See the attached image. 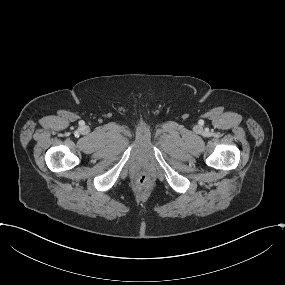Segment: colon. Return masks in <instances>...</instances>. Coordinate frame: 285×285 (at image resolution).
I'll list each match as a JSON object with an SVG mask.
<instances>
[{
	"label": "colon",
	"mask_w": 285,
	"mask_h": 285,
	"mask_svg": "<svg viewBox=\"0 0 285 285\" xmlns=\"http://www.w3.org/2000/svg\"><path fill=\"white\" fill-rule=\"evenodd\" d=\"M135 184L140 189H148L153 184V178L150 173L141 171L135 178Z\"/></svg>",
	"instance_id": "obj_1"
}]
</instances>
